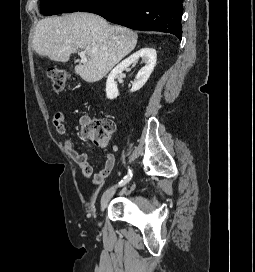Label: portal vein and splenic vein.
Segmentation results:
<instances>
[{
    "mask_svg": "<svg viewBox=\"0 0 255 272\" xmlns=\"http://www.w3.org/2000/svg\"><path fill=\"white\" fill-rule=\"evenodd\" d=\"M81 62H87L88 59L86 57V50L80 52Z\"/></svg>",
    "mask_w": 255,
    "mask_h": 272,
    "instance_id": "portal-vein-and-splenic-vein-1",
    "label": "portal vein and splenic vein"
}]
</instances>
